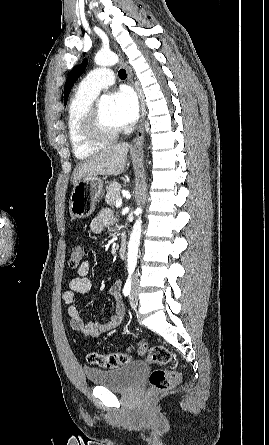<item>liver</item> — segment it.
<instances>
[{
	"label": "liver",
	"mask_w": 269,
	"mask_h": 445,
	"mask_svg": "<svg viewBox=\"0 0 269 445\" xmlns=\"http://www.w3.org/2000/svg\"><path fill=\"white\" fill-rule=\"evenodd\" d=\"M129 148L130 145L128 143L116 144L85 160L79 164L73 173V185L75 186L85 177L97 175L117 176L121 174L126 166Z\"/></svg>",
	"instance_id": "liver-1"
}]
</instances>
